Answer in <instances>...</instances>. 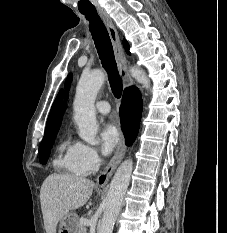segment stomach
Returning a JSON list of instances; mask_svg holds the SVG:
<instances>
[{
    "instance_id": "obj_1",
    "label": "stomach",
    "mask_w": 227,
    "mask_h": 233,
    "mask_svg": "<svg viewBox=\"0 0 227 233\" xmlns=\"http://www.w3.org/2000/svg\"><path fill=\"white\" fill-rule=\"evenodd\" d=\"M78 224V216L75 213H68L60 221L59 233H77Z\"/></svg>"
}]
</instances>
